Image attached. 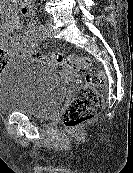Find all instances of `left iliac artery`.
Instances as JSON below:
<instances>
[{
    "label": "left iliac artery",
    "instance_id": "obj_1",
    "mask_svg": "<svg viewBox=\"0 0 133 173\" xmlns=\"http://www.w3.org/2000/svg\"><path fill=\"white\" fill-rule=\"evenodd\" d=\"M44 25L40 24L37 30V34L40 38H42V32H43Z\"/></svg>",
    "mask_w": 133,
    "mask_h": 173
}]
</instances>
